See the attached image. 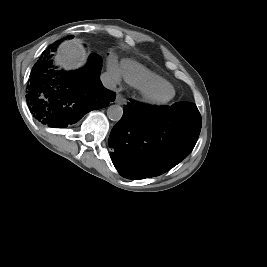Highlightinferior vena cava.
Returning <instances> with one entry per match:
<instances>
[{
	"instance_id": "602c4592",
	"label": "inferior vena cava",
	"mask_w": 267,
	"mask_h": 267,
	"mask_svg": "<svg viewBox=\"0 0 267 267\" xmlns=\"http://www.w3.org/2000/svg\"><path fill=\"white\" fill-rule=\"evenodd\" d=\"M100 80L103 86L106 87L107 89H110V90L115 89L116 83L114 79L108 73L101 74Z\"/></svg>"
}]
</instances>
